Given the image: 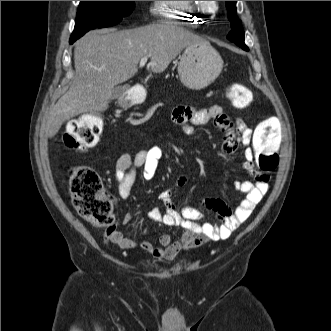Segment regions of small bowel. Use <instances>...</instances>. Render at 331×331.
Segmentation results:
<instances>
[{
	"label": "small bowel",
	"instance_id": "1",
	"mask_svg": "<svg viewBox=\"0 0 331 331\" xmlns=\"http://www.w3.org/2000/svg\"><path fill=\"white\" fill-rule=\"evenodd\" d=\"M173 121L186 134H191L194 126L212 121L217 128L226 134L221 147L225 155L233 154L240 144L245 147L243 166L254 181L234 182L235 188L246 194V197L234 210L219 199L205 198L201 201L205 209L216 213L220 221L219 225L202 222L203 214L195 208L184 206L181 210H178L172 201V190L165 189L162 191L159 199L164 204L165 211L163 212L160 208L155 207L150 210L149 218L154 223L181 227L183 233L175 241L172 240L169 234L163 233L158 238V244L149 240H143L140 243V247L156 258L169 260L174 259L182 250L199 247L208 241L228 239L232 232L250 217L256 206L261 202L268 191L270 179L266 172L257 170L254 167V151L251 146L253 141L252 129L240 120L233 123L221 106L213 105L200 110L190 106H179L173 111ZM162 156V148L153 146L149 149L141 150L135 155L123 154L118 159L115 168V179L122 199H128L131 195L136 179V170L142 168L143 178L151 180L156 173L158 162ZM185 182L186 178L181 176L176 184L182 186ZM133 218V213L127 212L122 222L127 225L132 222ZM105 239L124 250H132L137 247V243L134 240L126 237L123 232L115 228L107 230Z\"/></svg>",
	"mask_w": 331,
	"mask_h": 331
}]
</instances>
